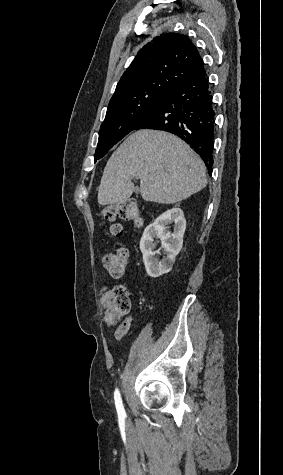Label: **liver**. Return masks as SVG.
<instances>
[{
  "label": "liver",
  "instance_id": "6515ba94",
  "mask_svg": "<svg viewBox=\"0 0 283 475\" xmlns=\"http://www.w3.org/2000/svg\"><path fill=\"white\" fill-rule=\"evenodd\" d=\"M204 162L177 136L159 130H138L113 152L101 178L98 204H125L140 180L146 202L176 204L207 184Z\"/></svg>",
  "mask_w": 283,
  "mask_h": 475
}]
</instances>
